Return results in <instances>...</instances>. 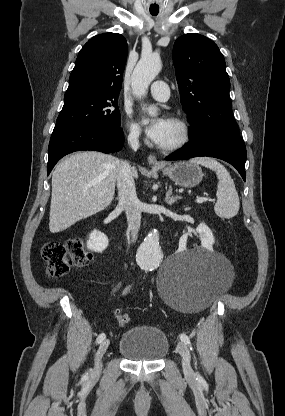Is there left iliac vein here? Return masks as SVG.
Wrapping results in <instances>:
<instances>
[{
	"label": "left iliac vein",
	"mask_w": 285,
	"mask_h": 416,
	"mask_svg": "<svg viewBox=\"0 0 285 416\" xmlns=\"http://www.w3.org/2000/svg\"><path fill=\"white\" fill-rule=\"evenodd\" d=\"M177 351L182 356L184 374L188 376L193 375L191 355L187 345L184 342H178Z\"/></svg>",
	"instance_id": "4c4485c4"
}]
</instances>
